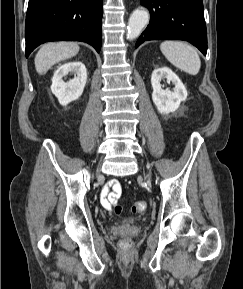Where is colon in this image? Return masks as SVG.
Returning a JSON list of instances; mask_svg holds the SVG:
<instances>
[{"label": "colon", "instance_id": "colon-1", "mask_svg": "<svg viewBox=\"0 0 243 289\" xmlns=\"http://www.w3.org/2000/svg\"><path fill=\"white\" fill-rule=\"evenodd\" d=\"M146 207H147V205L144 201H138V202L133 204L132 211L134 213H142L146 210ZM114 211H115V213L120 214L122 212V206L118 203L115 204L114 205ZM129 245H130V242L128 240H124L122 242L123 247H128Z\"/></svg>", "mask_w": 243, "mask_h": 289}]
</instances>
